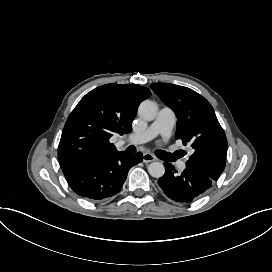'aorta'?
<instances>
[{
	"label": "aorta",
	"mask_w": 272,
	"mask_h": 272,
	"mask_svg": "<svg viewBox=\"0 0 272 272\" xmlns=\"http://www.w3.org/2000/svg\"><path fill=\"white\" fill-rule=\"evenodd\" d=\"M158 112V104L151 100H144L138 108V114L148 120H153ZM148 172L152 177L160 178L165 173V167L161 162H152L148 166Z\"/></svg>",
	"instance_id": "762f6f07"
}]
</instances>
